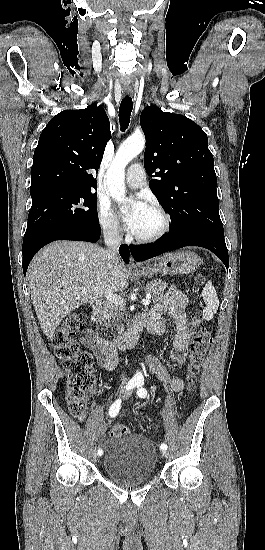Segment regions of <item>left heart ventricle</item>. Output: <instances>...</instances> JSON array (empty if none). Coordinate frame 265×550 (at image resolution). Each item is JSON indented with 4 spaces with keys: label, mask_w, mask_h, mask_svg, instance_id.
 Instances as JSON below:
<instances>
[{
    "label": "left heart ventricle",
    "mask_w": 265,
    "mask_h": 550,
    "mask_svg": "<svg viewBox=\"0 0 265 550\" xmlns=\"http://www.w3.org/2000/svg\"><path fill=\"white\" fill-rule=\"evenodd\" d=\"M162 224L160 216L153 210L148 208L141 217L136 230L133 232L136 235H150L156 232Z\"/></svg>",
    "instance_id": "obj_1"
}]
</instances>
